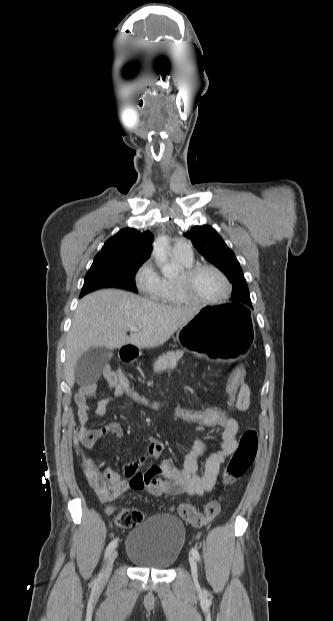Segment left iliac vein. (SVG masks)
I'll return each instance as SVG.
<instances>
[{"label":"left iliac vein","mask_w":333,"mask_h":621,"mask_svg":"<svg viewBox=\"0 0 333 621\" xmlns=\"http://www.w3.org/2000/svg\"><path fill=\"white\" fill-rule=\"evenodd\" d=\"M189 563L191 568V574L195 583L198 582L197 563L193 556H189Z\"/></svg>","instance_id":"left-iliac-vein-1"}]
</instances>
